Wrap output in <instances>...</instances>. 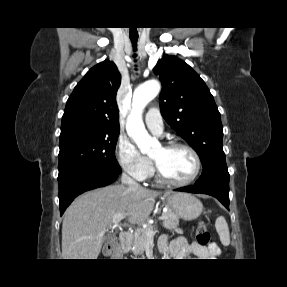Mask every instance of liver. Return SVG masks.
<instances>
[{
    "label": "liver",
    "instance_id": "liver-1",
    "mask_svg": "<svg viewBox=\"0 0 287 287\" xmlns=\"http://www.w3.org/2000/svg\"><path fill=\"white\" fill-rule=\"evenodd\" d=\"M159 194L145 188L110 185L76 198L62 223L63 259H97L113 217L123 213L130 223L142 224L150 216Z\"/></svg>",
    "mask_w": 287,
    "mask_h": 287
}]
</instances>
